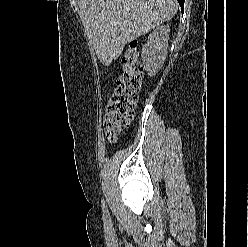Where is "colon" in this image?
<instances>
[{"instance_id":"colon-1","label":"colon","mask_w":248,"mask_h":247,"mask_svg":"<svg viewBox=\"0 0 248 247\" xmlns=\"http://www.w3.org/2000/svg\"><path fill=\"white\" fill-rule=\"evenodd\" d=\"M143 68L135 41L131 42L123 58V71L110 95L103 119L107 139L114 142L133 118L141 89Z\"/></svg>"}]
</instances>
